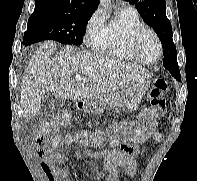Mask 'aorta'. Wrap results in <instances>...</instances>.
<instances>
[{
  "mask_svg": "<svg viewBox=\"0 0 197 181\" xmlns=\"http://www.w3.org/2000/svg\"><path fill=\"white\" fill-rule=\"evenodd\" d=\"M101 4H106V3H109L110 0H100Z\"/></svg>",
  "mask_w": 197,
  "mask_h": 181,
  "instance_id": "762f6f07",
  "label": "aorta"
}]
</instances>
